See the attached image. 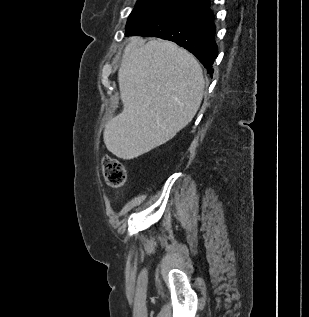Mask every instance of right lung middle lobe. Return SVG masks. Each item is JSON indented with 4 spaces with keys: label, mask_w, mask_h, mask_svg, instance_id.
I'll use <instances>...</instances> for the list:
<instances>
[{
    "label": "right lung middle lobe",
    "mask_w": 309,
    "mask_h": 317,
    "mask_svg": "<svg viewBox=\"0 0 309 317\" xmlns=\"http://www.w3.org/2000/svg\"><path fill=\"white\" fill-rule=\"evenodd\" d=\"M176 1L178 0H138L128 18L126 31L140 18Z\"/></svg>",
    "instance_id": "obj_1"
}]
</instances>
